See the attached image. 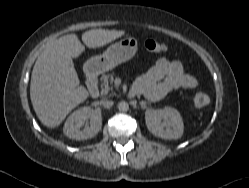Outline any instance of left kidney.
Wrapping results in <instances>:
<instances>
[{"label":"left kidney","mask_w":249,"mask_h":188,"mask_svg":"<svg viewBox=\"0 0 249 188\" xmlns=\"http://www.w3.org/2000/svg\"><path fill=\"white\" fill-rule=\"evenodd\" d=\"M162 120L169 126L166 130ZM145 121L148 130L162 139H179L183 135L184 124L180 113L171 107L163 109H148L145 112Z\"/></svg>","instance_id":"5707ae66"}]
</instances>
